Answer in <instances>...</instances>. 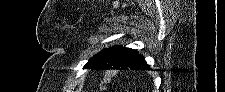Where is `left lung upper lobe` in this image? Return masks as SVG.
<instances>
[{"label": "left lung upper lobe", "instance_id": "5c2ea615", "mask_svg": "<svg viewBox=\"0 0 225 92\" xmlns=\"http://www.w3.org/2000/svg\"><path fill=\"white\" fill-rule=\"evenodd\" d=\"M120 46H115L108 49H103L101 52H99L97 55L92 57L88 63L83 67L85 69H95L98 67L103 61H105L109 56H111L113 53L118 51Z\"/></svg>", "mask_w": 225, "mask_h": 92}]
</instances>
